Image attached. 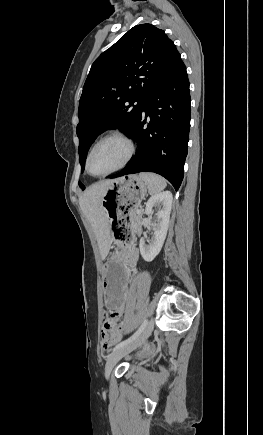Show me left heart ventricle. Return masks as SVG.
Wrapping results in <instances>:
<instances>
[{
    "mask_svg": "<svg viewBox=\"0 0 263 435\" xmlns=\"http://www.w3.org/2000/svg\"><path fill=\"white\" fill-rule=\"evenodd\" d=\"M127 155L126 146L119 140L109 139L100 143L90 157V170L103 174L118 167Z\"/></svg>",
    "mask_w": 263,
    "mask_h": 435,
    "instance_id": "b2bd125f",
    "label": "left heart ventricle"
}]
</instances>
